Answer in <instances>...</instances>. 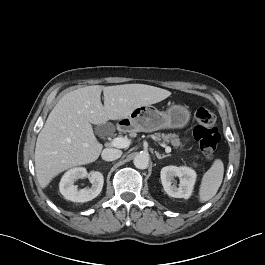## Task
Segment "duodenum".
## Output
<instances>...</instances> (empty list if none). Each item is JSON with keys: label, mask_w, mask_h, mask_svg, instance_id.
I'll use <instances>...</instances> for the list:
<instances>
[{"label": "duodenum", "mask_w": 265, "mask_h": 265, "mask_svg": "<svg viewBox=\"0 0 265 265\" xmlns=\"http://www.w3.org/2000/svg\"><path fill=\"white\" fill-rule=\"evenodd\" d=\"M117 129H118V131H121L122 130V127L119 126Z\"/></svg>", "instance_id": "obj_1"}]
</instances>
